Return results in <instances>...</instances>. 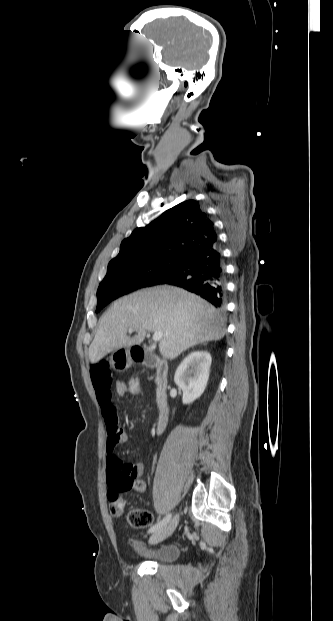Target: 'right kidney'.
<instances>
[{"label":"right kidney","mask_w":333,"mask_h":621,"mask_svg":"<svg viewBox=\"0 0 333 621\" xmlns=\"http://www.w3.org/2000/svg\"><path fill=\"white\" fill-rule=\"evenodd\" d=\"M211 356L207 351H193L178 366L174 381L183 390L184 404L199 398L207 385Z\"/></svg>","instance_id":"1"}]
</instances>
